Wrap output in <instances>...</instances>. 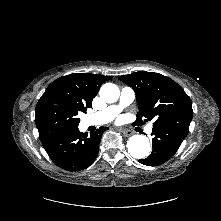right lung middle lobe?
I'll return each mask as SVG.
<instances>
[{
    "label": "right lung middle lobe",
    "mask_w": 221,
    "mask_h": 221,
    "mask_svg": "<svg viewBox=\"0 0 221 221\" xmlns=\"http://www.w3.org/2000/svg\"><path fill=\"white\" fill-rule=\"evenodd\" d=\"M79 112L85 113L86 109L60 93L42 96L37 103L35 116L41 142L60 133L78 129Z\"/></svg>",
    "instance_id": "dd1d6c3e"
}]
</instances>
